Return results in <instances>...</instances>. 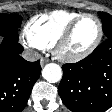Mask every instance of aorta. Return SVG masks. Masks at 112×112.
<instances>
[{"label": "aorta", "instance_id": "1", "mask_svg": "<svg viewBox=\"0 0 112 112\" xmlns=\"http://www.w3.org/2000/svg\"><path fill=\"white\" fill-rule=\"evenodd\" d=\"M42 76L50 83H56L62 78V69L58 64L48 63L42 70Z\"/></svg>", "mask_w": 112, "mask_h": 112}]
</instances>
